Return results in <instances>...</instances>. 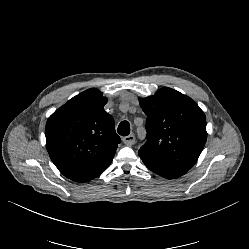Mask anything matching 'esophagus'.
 <instances>
[{
    "label": "esophagus",
    "instance_id": "obj_1",
    "mask_svg": "<svg viewBox=\"0 0 249 249\" xmlns=\"http://www.w3.org/2000/svg\"><path fill=\"white\" fill-rule=\"evenodd\" d=\"M122 140H123V143L127 146H132L136 142V138L133 134H130V135L123 137Z\"/></svg>",
    "mask_w": 249,
    "mask_h": 249
}]
</instances>
